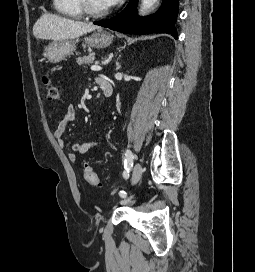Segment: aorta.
Returning a JSON list of instances; mask_svg holds the SVG:
<instances>
[{"label":"aorta","instance_id":"1","mask_svg":"<svg viewBox=\"0 0 255 272\" xmlns=\"http://www.w3.org/2000/svg\"><path fill=\"white\" fill-rule=\"evenodd\" d=\"M159 0H142L140 7V14L145 15L148 11L154 7Z\"/></svg>","mask_w":255,"mask_h":272}]
</instances>
